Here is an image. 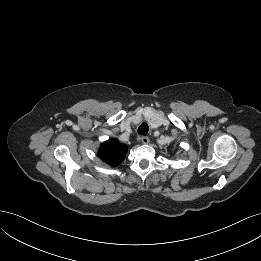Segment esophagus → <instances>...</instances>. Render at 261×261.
Segmentation results:
<instances>
[{"instance_id": "esophagus-1", "label": "esophagus", "mask_w": 261, "mask_h": 261, "mask_svg": "<svg viewBox=\"0 0 261 261\" xmlns=\"http://www.w3.org/2000/svg\"><path fill=\"white\" fill-rule=\"evenodd\" d=\"M140 141L142 144H148L149 138L147 136H142V137H140Z\"/></svg>"}]
</instances>
